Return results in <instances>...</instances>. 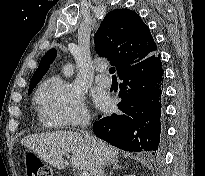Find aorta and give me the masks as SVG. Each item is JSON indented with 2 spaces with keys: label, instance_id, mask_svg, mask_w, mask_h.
I'll return each mask as SVG.
<instances>
[{
  "label": "aorta",
  "instance_id": "762f6f07",
  "mask_svg": "<svg viewBox=\"0 0 205 176\" xmlns=\"http://www.w3.org/2000/svg\"><path fill=\"white\" fill-rule=\"evenodd\" d=\"M63 73L66 77H71L73 75V66L71 64H67L63 68Z\"/></svg>",
  "mask_w": 205,
  "mask_h": 176
}]
</instances>
